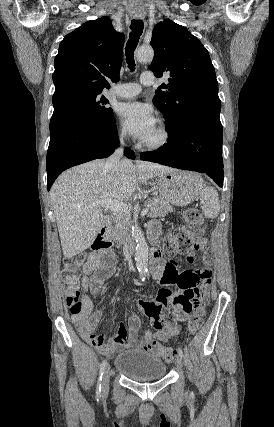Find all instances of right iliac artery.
Instances as JSON below:
<instances>
[{"instance_id":"82829eb1","label":"right iliac artery","mask_w":274,"mask_h":427,"mask_svg":"<svg viewBox=\"0 0 274 427\" xmlns=\"http://www.w3.org/2000/svg\"><path fill=\"white\" fill-rule=\"evenodd\" d=\"M106 366H107V361L104 360L101 363V365H100V373H99L97 387H96V397H97V399L101 397V382H102V377H103L104 369H105Z\"/></svg>"}]
</instances>
